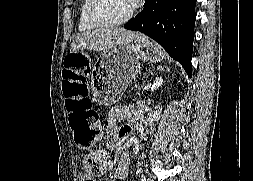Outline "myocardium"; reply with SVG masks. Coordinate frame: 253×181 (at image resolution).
Returning a JSON list of instances; mask_svg holds the SVG:
<instances>
[{
  "label": "myocardium",
  "instance_id": "f54148a6",
  "mask_svg": "<svg viewBox=\"0 0 253 181\" xmlns=\"http://www.w3.org/2000/svg\"><path fill=\"white\" fill-rule=\"evenodd\" d=\"M102 2H103L102 0H90V4L88 7L89 20L99 27L113 28L122 26L127 22H129L134 16L135 8H132L124 18L117 21H110L101 14Z\"/></svg>",
  "mask_w": 253,
  "mask_h": 181
}]
</instances>
